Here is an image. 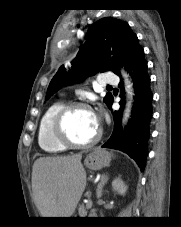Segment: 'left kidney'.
<instances>
[{
	"mask_svg": "<svg viewBox=\"0 0 181 227\" xmlns=\"http://www.w3.org/2000/svg\"><path fill=\"white\" fill-rule=\"evenodd\" d=\"M112 188L120 195H124L127 191V186L120 177H117L112 181Z\"/></svg>",
	"mask_w": 181,
	"mask_h": 227,
	"instance_id": "5707ae66",
	"label": "left kidney"
}]
</instances>
